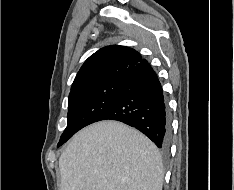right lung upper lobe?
Masks as SVG:
<instances>
[{
    "mask_svg": "<svg viewBox=\"0 0 234 190\" xmlns=\"http://www.w3.org/2000/svg\"><path fill=\"white\" fill-rule=\"evenodd\" d=\"M142 60L132 48L112 45L91 55L77 73L69 95L124 77Z\"/></svg>",
    "mask_w": 234,
    "mask_h": 190,
    "instance_id": "1",
    "label": "right lung upper lobe"
}]
</instances>
